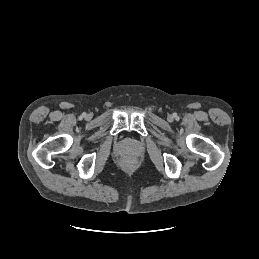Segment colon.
Returning <instances> with one entry per match:
<instances>
[{
  "label": "colon",
  "instance_id": "1",
  "mask_svg": "<svg viewBox=\"0 0 259 259\" xmlns=\"http://www.w3.org/2000/svg\"><path fill=\"white\" fill-rule=\"evenodd\" d=\"M129 164H130V161H129V160H125V161H124V165H125V166H128Z\"/></svg>",
  "mask_w": 259,
  "mask_h": 259
}]
</instances>
